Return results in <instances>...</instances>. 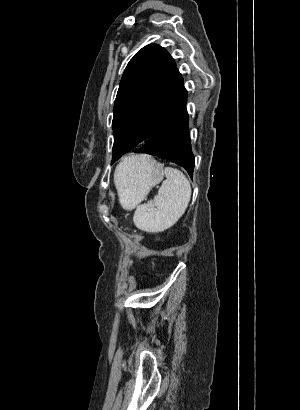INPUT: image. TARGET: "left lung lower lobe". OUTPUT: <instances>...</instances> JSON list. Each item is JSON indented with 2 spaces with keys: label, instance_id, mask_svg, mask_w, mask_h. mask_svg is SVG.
<instances>
[{
  "label": "left lung lower lobe",
  "instance_id": "0a47b994",
  "mask_svg": "<svg viewBox=\"0 0 300 410\" xmlns=\"http://www.w3.org/2000/svg\"><path fill=\"white\" fill-rule=\"evenodd\" d=\"M186 102L187 93L151 133L145 146L136 150V153L166 158L185 168L192 176L194 155L191 150Z\"/></svg>",
  "mask_w": 300,
  "mask_h": 410
}]
</instances>
